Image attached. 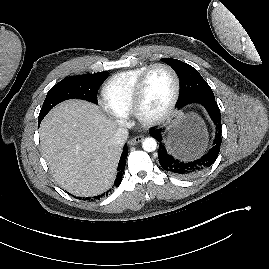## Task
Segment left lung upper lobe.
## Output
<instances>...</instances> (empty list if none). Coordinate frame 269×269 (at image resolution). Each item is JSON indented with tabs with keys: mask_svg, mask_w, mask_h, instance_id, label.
I'll return each mask as SVG.
<instances>
[{
	"mask_svg": "<svg viewBox=\"0 0 269 269\" xmlns=\"http://www.w3.org/2000/svg\"><path fill=\"white\" fill-rule=\"evenodd\" d=\"M162 61L170 65L179 77L181 86L179 104L197 98H215L208 83L191 65L171 58H164Z\"/></svg>",
	"mask_w": 269,
	"mask_h": 269,
	"instance_id": "left-lung-upper-lobe-1",
	"label": "left lung upper lobe"
}]
</instances>
